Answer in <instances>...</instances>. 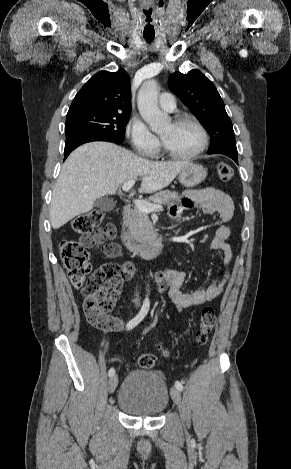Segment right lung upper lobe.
Here are the masks:
<instances>
[{
  "label": "right lung upper lobe",
  "instance_id": "cb5924a9",
  "mask_svg": "<svg viewBox=\"0 0 291 469\" xmlns=\"http://www.w3.org/2000/svg\"><path fill=\"white\" fill-rule=\"evenodd\" d=\"M84 110L130 113L131 92L125 70L96 73L76 94L68 113Z\"/></svg>",
  "mask_w": 291,
  "mask_h": 469
}]
</instances>
